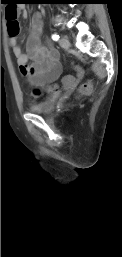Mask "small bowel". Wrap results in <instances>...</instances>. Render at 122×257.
Returning <instances> with one entry per match:
<instances>
[{"instance_id":"obj_1","label":"small bowel","mask_w":122,"mask_h":257,"mask_svg":"<svg viewBox=\"0 0 122 257\" xmlns=\"http://www.w3.org/2000/svg\"><path fill=\"white\" fill-rule=\"evenodd\" d=\"M17 14L23 18L28 17L24 6L18 7ZM43 30V20L40 13H35L32 18L30 34L27 39V53H24L18 43V36H10L9 44L17 59L22 75L27 77L35 86L49 84L61 74V64L58 52L43 45L40 36ZM49 89H45L44 98H48Z\"/></svg>"}]
</instances>
